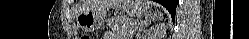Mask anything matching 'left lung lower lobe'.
<instances>
[{"label":"left lung lower lobe","mask_w":249,"mask_h":39,"mask_svg":"<svg viewBox=\"0 0 249 39\" xmlns=\"http://www.w3.org/2000/svg\"><path fill=\"white\" fill-rule=\"evenodd\" d=\"M156 1L160 2L164 7H166L168 11L170 12L172 18H174L176 6L179 0H156Z\"/></svg>","instance_id":"left-lung-lower-lobe-1"}]
</instances>
